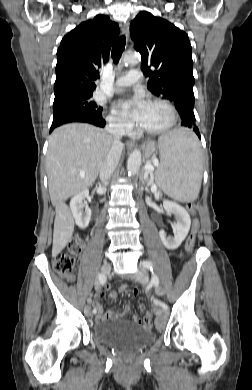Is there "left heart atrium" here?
Returning a JSON list of instances; mask_svg holds the SVG:
<instances>
[{
    "instance_id": "obj_1",
    "label": "left heart atrium",
    "mask_w": 252,
    "mask_h": 390,
    "mask_svg": "<svg viewBox=\"0 0 252 390\" xmlns=\"http://www.w3.org/2000/svg\"><path fill=\"white\" fill-rule=\"evenodd\" d=\"M146 102L143 100L140 94H136L132 98L121 100L119 102V108L123 115L129 119L140 123L142 120Z\"/></svg>"
}]
</instances>
